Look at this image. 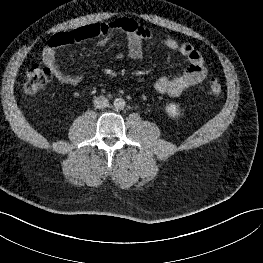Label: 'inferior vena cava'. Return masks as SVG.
<instances>
[{"instance_id": "inferior-vena-cava-1", "label": "inferior vena cava", "mask_w": 263, "mask_h": 263, "mask_svg": "<svg viewBox=\"0 0 263 263\" xmlns=\"http://www.w3.org/2000/svg\"><path fill=\"white\" fill-rule=\"evenodd\" d=\"M93 103H94V107L97 109H103L109 106V101L104 96L96 97Z\"/></svg>"}]
</instances>
